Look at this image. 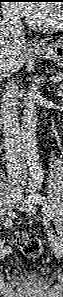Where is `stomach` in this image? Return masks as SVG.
I'll use <instances>...</instances> for the list:
<instances>
[{
    "mask_svg": "<svg viewBox=\"0 0 63 297\" xmlns=\"http://www.w3.org/2000/svg\"><path fill=\"white\" fill-rule=\"evenodd\" d=\"M34 52L46 59L52 60L60 67H63V40L60 39L52 45L43 49H34Z\"/></svg>",
    "mask_w": 63,
    "mask_h": 297,
    "instance_id": "stomach-1",
    "label": "stomach"
}]
</instances>
